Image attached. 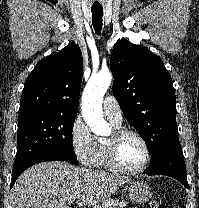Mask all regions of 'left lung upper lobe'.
Returning a JSON list of instances; mask_svg holds the SVG:
<instances>
[{
    "mask_svg": "<svg viewBox=\"0 0 199 208\" xmlns=\"http://www.w3.org/2000/svg\"><path fill=\"white\" fill-rule=\"evenodd\" d=\"M113 95L146 142L154 161L178 141L173 82L162 60L145 47L122 39L111 52Z\"/></svg>",
    "mask_w": 199,
    "mask_h": 208,
    "instance_id": "5c2ea615",
    "label": "left lung upper lobe"
}]
</instances>
